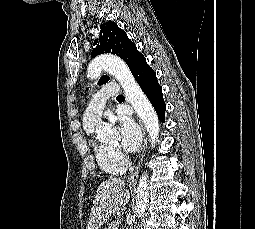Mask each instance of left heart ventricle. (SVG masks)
<instances>
[{
	"label": "left heart ventricle",
	"mask_w": 255,
	"mask_h": 229,
	"mask_svg": "<svg viewBox=\"0 0 255 229\" xmlns=\"http://www.w3.org/2000/svg\"><path fill=\"white\" fill-rule=\"evenodd\" d=\"M110 147L112 148L118 147V142L117 141L113 142L112 144H110Z\"/></svg>",
	"instance_id": "b2bd125f"
}]
</instances>
